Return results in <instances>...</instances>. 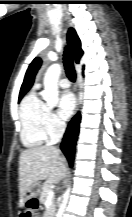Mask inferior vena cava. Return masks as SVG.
<instances>
[{
	"label": "inferior vena cava",
	"instance_id": "inferior-vena-cava-1",
	"mask_svg": "<svg viewBox=\"0 0 132 217\" xmlns=\"http://www.w3.org/2000/svg\"><path fill=\"white\" fill-rule=\"evenodd\" d=\"M65 127H66V125H65L64 122H59V123H58L57 133H58V135H59L60 137L63 136L64 131H65Z\"/></svg>",
	"mask_w": 132,
	"mask_h": 217
}]
</instances>
